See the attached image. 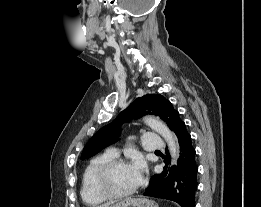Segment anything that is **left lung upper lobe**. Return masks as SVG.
Returning a JSON list of instances; mask_svg holds the SVG:
<instances>
[{"label": "left lung upper lobe", "mask_w": 261, "mask_h": 207, "mask_svg": "<svg viewBox=\"0 0 261 207\" xmlns=\"http://www.w3.org/2000/svg\"><path fill=\"white\" fill-rule=\"evenodd\" d=\"M146 114L159 116L167 123L172 131H175L177 124L181 120L179 112L176 111L171 102L162 95L147 94L138 97L122 111L112 123L104 126L93 135L84 147L81 159H88L100 152L103 148L116 142L120 136L122 123L131 118H140Z\"/></svg>", "instance_id": "left-lung-upper-lobe-1"}]
</instances>
